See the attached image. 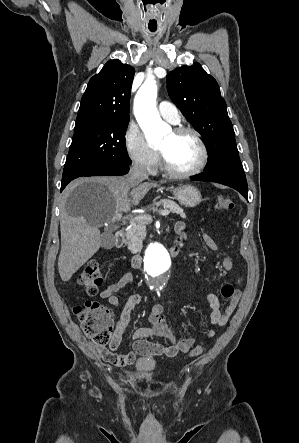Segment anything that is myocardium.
Listing matches in <instances>:
<instances>
[{"label": "myocardium", "instance_id": "1", "mask_svg": "<svg viewBox=\"0 0 299 443\" xmlns=\"http://www.w3.org/2000/svg\"><path fill=\"white\" fill-rule=\"evenodd\" d=\"M175 135H181V134H191L199 147V151H200V157H199V161L197 162V164L190 170L187 171H177L174 170L173 168H171L163 154L161 151L158 150V155H159V160H160V166L161 169L169 176L173 177V178H188V177H192L195 176L199 173H201L203 171V169L205 168L207 161H208V150L206 147V144L201 136V134L192 127L189 126H180L175 128L172 131Z\"/></svg>", "mask_w": 299, "mask_h": 443}]
</instances>
